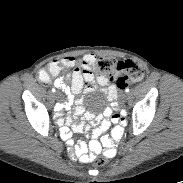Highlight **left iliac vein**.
I'll list each match as a JSON object with an SVG mask.
<instances>
[{
    "instance_id": "4c4485c4",
    "label": "left iliac vein",
    "mask_w": 183,
    "mask_h": 183,
    "mask_svg": "<svg viewBox=\"0 0 183 183\" xmlns=\"http://www.w3.org/2000/svg\"><path fill=\"white\" fill-rule=\"evenodd\" d=\"M127 97H128L127 93H123L122 94V100L123 101H126L127 100Z\"/></svg>"
}]
</instances>
